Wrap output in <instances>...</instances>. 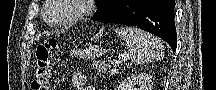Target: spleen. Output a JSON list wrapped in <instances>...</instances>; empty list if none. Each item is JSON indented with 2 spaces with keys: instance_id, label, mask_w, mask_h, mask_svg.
Listing matches in <instances>:
<instances>
[{
  "instance_id": "spleen-1",
  "label": "spleen",
  "mask_w": 216,
  "mask_h": 90,
  "mask_svg": "<svg viewBox=\"0 0 216 90\" xmlns=\"http://www.w3.org/2000/svg\"><path fill=\"white\" fill-rule=\"evenodd\" d=\"M115 34L124 40L128 54L135 64H147L160 58L162 46L153 34L139 28H117Z\"/></svg>"
}]
</instances>
